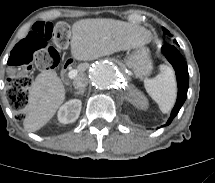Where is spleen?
<instances>
[{"mask_svg":"<svg viewBox=\"0 0 215 183\" xmlns=\"http://www.w3.org/2000/svg\"><path fill=\"white\" fill-rule=\"evenodd\" d=\"M144 86L149 96L163 113H168L176 99V80L171 67L160 66V73L154 78H145Z\"/></svg>","mask_w":215,"mask_h":183,"instance_id":"3e777b00","label":"spleen"}]
</instances>
